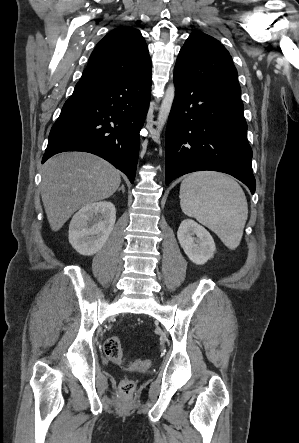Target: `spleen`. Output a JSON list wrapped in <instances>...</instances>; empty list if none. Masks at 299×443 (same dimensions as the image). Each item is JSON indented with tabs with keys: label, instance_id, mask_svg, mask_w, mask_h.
I'll return each instance as SVG.
<instances>
[{
	"label": "spleen",
	"instance_id": "spleen-1",
	"mask_svg": "<svg viewBox=\"0 0 299 443\" xmlns=\"http://www.w3.org/2000/svg\"><path fill=\"white\" fill-rule=\"evenodd\" d=\"M179 197L182 211L214 231L228 248L240 244L248 206L233 178L217 172L191 174L182 181Z\"/></svg>",
	"mask_w": 299,
	"mask_h": 443
}]
</instances>
